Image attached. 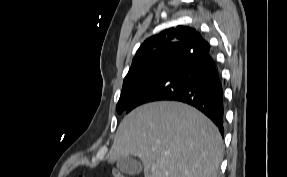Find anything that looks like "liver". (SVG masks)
Wrapping results in <instances>:
<instances>
[{
	"mask_svg": "<svg viewBox=\"0 0 287 177\" xmlns=\"http://www.w3.org/2000/svg\"><path fill=\"white\" fill-rule=\"evenodd\" d=\"M138 156L145 177H217L223 160L218 128L179 102L144 104L124 117L108 161Z\"/></svg>",
	"mask_w": 287,
	"mask_h": 177,
	"instance_id": "1",
	"label": "liver"
}]
</instances>
